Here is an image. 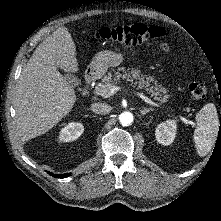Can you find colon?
<instances>
[{
    "label": "colon",
    "instance_id": "obj_1",
    "mask_svg": "<svg viewBox=\"0 0 221 221\" xmlns=\"http://www.w3.org/2000/svg\"><path fill=\"white\" fill-rule=\"evenodd\" d=\"M165 30L159 26H147L142 23L105 27L95 33V37L104 41H111L123 46H136L150 40L163 37ZM189 91L196 99H203L207 95V88L201 81L189 84Z\"/></svg>",
    "mask_w": 221,
    "mask_h": 221
}]
</instances>
